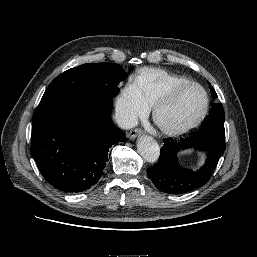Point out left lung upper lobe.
<instances>
[{
    "instance_id": "5c2ea615",
    "label": "left lung upper lobe",
    "mask_w": 257,
    "mask_h": 257,
    "mask_svg": "<svg viewBox=\"0 0 257 257\" xmlns=\"http://www.w3.org/2000/svg\"><path fill=\"white\" fill-rule=\"evenodd\" d=\"M211 94L217 98L213 87H210ZM224 109L222 104H213L209 116L199 132H211L219 135H225L224 129Z\"/></svg>"
}]
</instances>
